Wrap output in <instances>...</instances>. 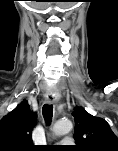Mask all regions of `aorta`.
Masks as SVG:
<instances>
[{
	"instance_id": "762f6f07",
	"label": "aorta",
	"mask_w": 118,
	"mask_h": 151,
	"mask_svg": "<svg viewBox=\"0 0 118 151\" xmlns=\"http://www.w3.org/2000/svg\"><path fill=\"white\" fill-rule=\"evenodd\" d=\"M73 128V124L68 119L58 120L53 126V133L57 136H61L69 133Z\"/></svg>"
}]
</instances>
